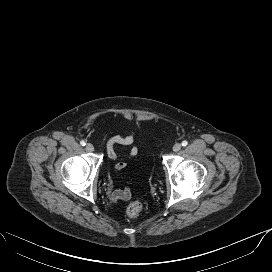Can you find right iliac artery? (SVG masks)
<instances>
[{"label":"right iliac artery","instance_id":"82829eb1","mask_svg":"<svg viewBox=\"0 0 272 272\" xmlns=\"http://www.w3.org/2000/svg\"><path fill=\"white\" fill-rule=\"evenodd\" d=\"M80 144H81L82 146H85V145H86V142H85L84 140H82V141L80 142Z\"/></svg>","mask_w":272,"mask_h":272}]
</instances>
